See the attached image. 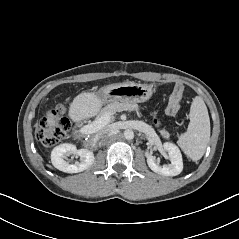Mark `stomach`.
I'll return each instance as SVG.
<instances>
[{
    "label": "stomach",
    "instance_id": "0dacf381",
    "mask_svg": "<svg viewBox=\"0 0 239 239\" xmlns=\"http://www.w3.org/2000/svg\"><path fill=\"white\" fill-rule=\"evenodd\" d=\"M98 94L105 103L115 101L142 103L150 99L153 94V89L146 84L124 82L104 86Z\"/></svg>",
    "mask_w": 239,
    "mask_h": 239
}]
</instances>
